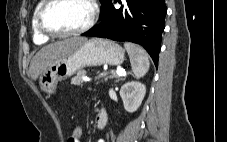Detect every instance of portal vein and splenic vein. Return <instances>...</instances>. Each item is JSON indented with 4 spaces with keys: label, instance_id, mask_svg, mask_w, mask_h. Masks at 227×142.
I'll list each match as a JSON object with an SVG mask.
<instances>
[{
    "label": "portal vein and splenic vein",
    "instance_id": "18ae733b",
    "mask_svg": "<svg viewBox=\"0 0 227 142\" xmlns=\"http://www.w3.org/2000/svg\"><path fill=\"white\" fill-rule=\"evenodd\" d=\"M110 73L111 74H116V75H118V76H122L123 75V72L122 71H119V70H117L116 72L115 71H110ZM108 73L107 72H104V73H101L99 76H98V78H100V77H103V76H105V75H107ZM84 80H87V81H89L90 79L88 78V79H84Z\"/></svg>",
    "mask_w": 227,
    "mask_h": 142
}]
</instances>
